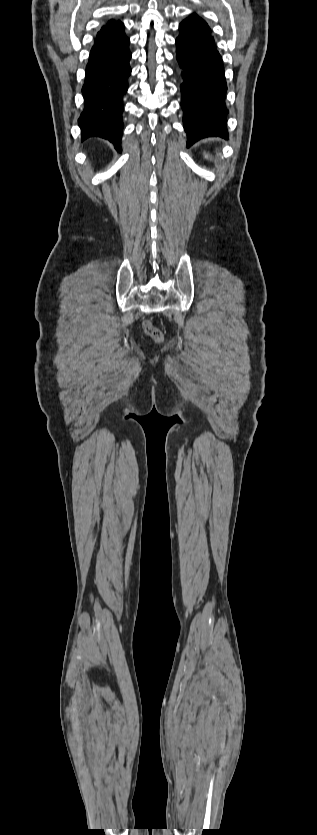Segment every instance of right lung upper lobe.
Here are the masks:
<instances>
[{"mask_svg": "<svg viewBox=\"0 0 317 835\" xmlns=\"http://www.w3.org/2000/svg\"><path fill=\"white\" fill-rule=\"evenodd\" d=\"M100 33L108 39L117 40L125 36L124 25L120 21L110 20Z\"/></svg>", "mask_w": 317, "mask_h": 835, "instance_id": "1", "label": "right lung upper lobe"}]
</instances>
